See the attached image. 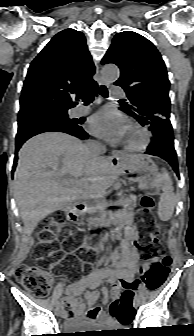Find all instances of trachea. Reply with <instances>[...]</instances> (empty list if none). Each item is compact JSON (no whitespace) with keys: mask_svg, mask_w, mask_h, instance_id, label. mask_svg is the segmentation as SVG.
Segmentation results:
<instances>
[{"mask_svg":"<svg viewBox=\"0 0 194 336\" xmlns=\"http://www.w3.org/2000/svg\"><path fill=\"white\" fill-rule=\"evenodd\" d=\"M100 94L105 98L108 97V91L104 85L100 87ZM81 99L83 100L84 103H90L93 101L94 96L92 94H85L81 97Z\"/></svg>","mask_w":194,"mask_h":336,"instance_id":"trachea-1","label":"trachea"}]
</instances>
